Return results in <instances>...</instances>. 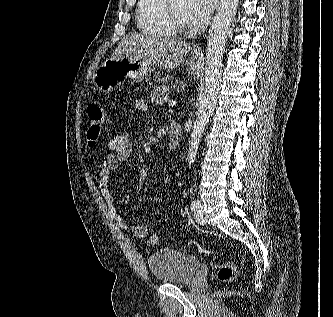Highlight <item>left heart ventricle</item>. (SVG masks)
I'll return each instance as SVG.
<instances>
[{
    "instance_id": "b2bd125f",
    "label": "left heart ventricle",
    "mask_w": 333,
    "mask_h": 317,
    "mask_svg": "<svg viewBox=\"0 0 333 317\" xmlns=\"http://www.w3.org/2000/svg\"><path fill=\"white\" fill-rule=\"evenodd\" d=\"M186 0H173V11L176 17L184 24H189L185 15Z\"/></svg>"
}]
</instances>
